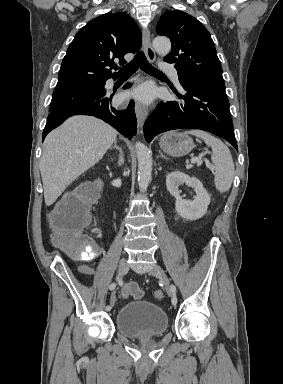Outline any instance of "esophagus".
Masks as SVG:
<instances>
[{
    "label": "esophagus",
    "instance_id": "1",
    "mask_svg": "<svg viewBox=\"0 0 283 384\" xmlns=\"http://www.w3.org/2000/svg\"><path fill=\"white\" fill-rule=\"evenodd\" d=\"M142 41H143V49L146 53L148 60H150V62H154L156 60V55L151 44L150 31L147 28L143 29ZM135 113L137 116L138 125L139 127H142L145 122L146 116L148 115V110L140 103H136Z\"/></svg>",
    "mask_w": 283,
    "mask_h": 384
}]
</instances>
